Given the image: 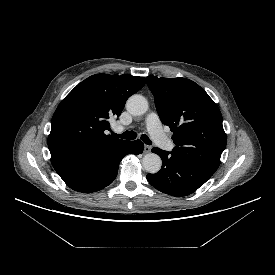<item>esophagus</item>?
I'll list each match as a JSON object with an SVG mask.
<instances>
[{
    "label": "esophagus",
    "mask_w": 275,
    "mask_h": 275,
    "mask_svg": "<svg viewBox=\"0 0 275 275\" xmlns=\"http://www.w3.org/2000/svg\"><path fill=\"white\" fill-rule=\"evenodd\" d=\"M151 152V146L145 145L144 146V153H150Z\"/></svg>",
    "instance_id": "esophagus-1"
}]
</instances>
